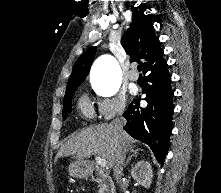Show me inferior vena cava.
<instances>
[{
    "label": "inferior vena cava",
    "instance_id": "1",
    "mask_svg": "<svg viewBox=\"0 0 221 193\" xmlns=\"http://www.w3.org/2000/svg\"><path fill=\"white\" fill-rule=\"evenodd\" d=\"M125 124L126 120L122 117L116 118L112 122V125L117 132H122L123 126ZM125 156H126V148L122 145H119L115 153L114 164H113L114 178L117 182L121 180L123 174L122 172H123V166L125 165L124 164Z\"/></svg>",
    "mask_w": 221,
    "mask_h": 193
}]
</instances>
